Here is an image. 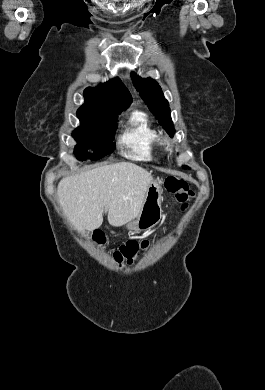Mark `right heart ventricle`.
<instances>
[{
	"instance_id": "e07e8e85",
	"label": "right heart ventricle",
	"mask_w": 265,
	"mask_h": 390,
	"mask_svg": "<svg viewBox=\"0 0 265 390\" xmlns=\"http://www.w3.org/2000/svg\"><path fill=\"white\" fill-rule=\"evenodd\" d=\"M120 142L126 149L125 155L129 158L143 161L157 159L160 135L149 116L142 110H134L130 114Z\"/></svg>"
}]
</instances>
